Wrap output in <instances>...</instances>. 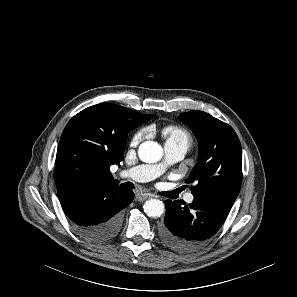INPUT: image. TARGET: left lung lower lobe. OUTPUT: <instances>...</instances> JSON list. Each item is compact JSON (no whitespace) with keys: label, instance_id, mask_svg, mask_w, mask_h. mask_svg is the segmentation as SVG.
Returning <instances> with one entry per match:
<instances>
[{"label":"left lung lower lobe","instance_id":"left-lung-lower-lobe-1","mask_svg":"<svg viewBox=\"0 0 297 297\" xmlns=\"http://www.w3.org/2000/svg\"><path fill=\"white\" fill-rule=\"evenodd\" d=\"M234 201L230 197L194 198L186 205L183 200H166L161 240L176 251L197 249L220 229Z\"/></svg>","mask_w":297,"mask_h":297}]
</instances>
